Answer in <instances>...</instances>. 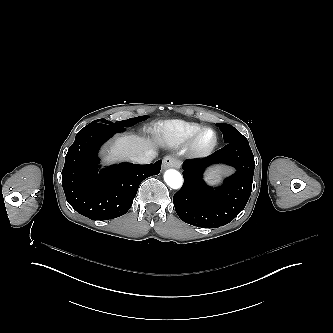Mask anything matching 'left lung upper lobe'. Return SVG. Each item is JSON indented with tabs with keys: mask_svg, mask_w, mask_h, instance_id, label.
Wrapping results in <instances>:
<instances>
[{
	"mask_svg": "<svg viewBox=\"0 0 333 333\" xmlns=\"http://www.w3.org/2000/svg\"><path fill=\"white\" fill-rule=\"evenodd\" d=\"M223 133L224 142H230L235 138L242 137L243 135L233 126L229 124H216Z\"/></svg>",
	"mask_w": 333,
	"mask_h": 333,
	"instance_id": "1",
	"label": "left lung upper lobe"
}]
</instances>
